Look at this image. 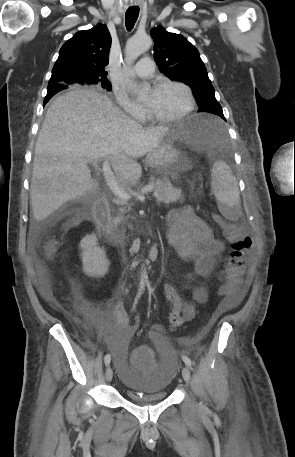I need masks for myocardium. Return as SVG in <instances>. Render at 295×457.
<instances>
[{
    "label": "myocardium",
    "instance_id": "f54148a6",
    "mask_svg": "<svg viewBox=\"0 0 295 457\" xmlns=\"http://www.w3.org/2000/svg\"><path fill=\"white\" fill-rule=\"evenodd\" d=\"M163 86L180 87L186 94L187 106L182 112H180L176 115H173V116H169V117L159 116V115L155 114L154 112H152L150 108L146 107V112H147V115L150 118V120H152L154 122H158V123H171V122L180 121V120L184 119L185 117H187L195 108V98H194L193 92L190 89V87L183 82L170 80V79H162L156 83V88H160Z\"/></svg>",
    "mask_w": 295,
    "mask_h": 457
}]
</instances>
